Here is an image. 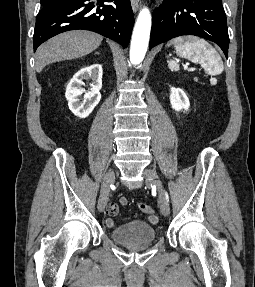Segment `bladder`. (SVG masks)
<instances>
[{
	"instance_id": "31cf9c89",
	"label": "bladder",
	"mask_w": 255,
	"mask_h": 287,
	"mask_svg": "<svg viewBox=\"0 0 255 287\" xmlns=\"http://www.w3.org/2000/svg\"><path fill=\"white\" fill-rule=\"evenodd\" d=\"M110 239L124 245L147 244L157 238L154 226L141 220H134L108 231Z\"/></svg>"
}]
</instances>
